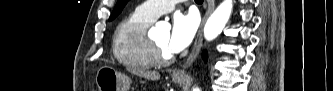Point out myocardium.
Segmentation results:
<instances>
[{
  "label": "myocardium",
  "mask_w": 333,
  "mask_h": 91,
  "mask_svg": "<svg viewBox=\"0 0 333 91\" xmlns=\"http://www.w3.org/2000/svg\"><path fill=\"white\" fill-rule=\"evenodd\" d=\"M150 57L154 65L166 66L173 62L174 56L164 52L152 39H148Z\"/></svg>",
  "instance_id": "f54148a6"
}]
</instances>
